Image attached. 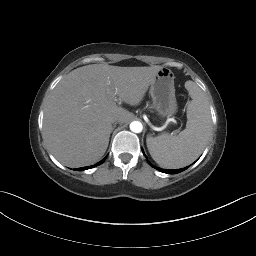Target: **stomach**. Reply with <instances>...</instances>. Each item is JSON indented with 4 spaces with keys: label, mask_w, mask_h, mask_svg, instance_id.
<instances>
[{
    "label": "stomach",
    "mask_w": 256,
    "mask_h": 256,
    "mask_svg": "<svg viewBox=\"0 0 256 256\" xmlns=\"http://www.w3.org/2000/svg\"><path fill=\"white\" fill-rule=\"evenodd\" d=\"M150 94L153 101V107L161 117L173 116L178 109L174 74L167 68H162L156 75L150 87Z\"/></svg>",
    "instance_id": "obj_1"
}]
</instances>
